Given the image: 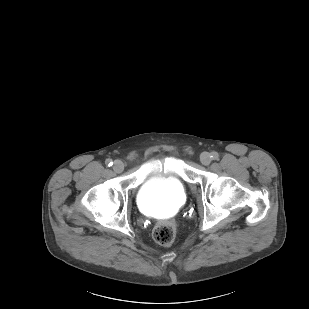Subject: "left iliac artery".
<instances>
[{
	"label": "left iliac artery",
	"instance_id": "obj_1",
	"mask_svg": "<svg viewBox=\"0 0 309 309\" xmlns=\"http://www.w3.org/2000/svg\"><path fill=\"white\" fill-rule=\"evenodd\" d=\"M211 157H212L213 160H217L219 158V155H218L217 152H212Z\"/></svg>",
	"mask_w": 309,
	"mask_h": 309
}]
</instances>
